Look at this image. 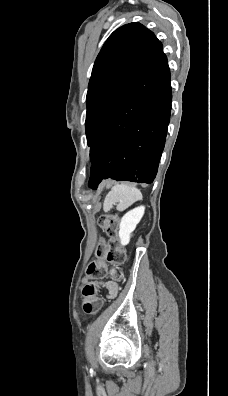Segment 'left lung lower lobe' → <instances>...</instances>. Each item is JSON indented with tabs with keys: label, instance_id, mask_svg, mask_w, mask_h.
I'll return each mask as SVG.
<instances>
[{
	"label": "left lung lower lobe",
	"instance_id": "left-lung-lower-lobe-1",
	"mask_svg": "<svg viewBox=\"0 0 228 396\" xmlns=\"http://www.w3.org/2000/svg\"><path fill=\"white\" fill-rule=\"evenodd\" d=\"M171 100L170 70L158 42L91 146L90 188L96 189L107 178L153 182L165 145Z\"/></svg>",
	"mask_w": 228,
	"mask_h": 396
}]
</instances>
